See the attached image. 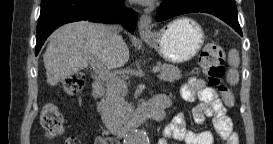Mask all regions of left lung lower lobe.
I'll return each instance as SVG.
<instances>
[{
	"mask_svg": "<svg viewBox=\"0 0 273 144\" xmlns=\"http://www.w3.org/2000/svg\"><path fill=\"white\" fill-rule=\"evenodd\" d=\"M190 12H205L215 15L242 36L235 0H162L156 21L160 22Z\"/></svg>",
	"mask_w": 273,
	"mask_h": 144,
	"instance_id": "obj_1",
	"label": "left lung lower lobe"
}]
</instances>
